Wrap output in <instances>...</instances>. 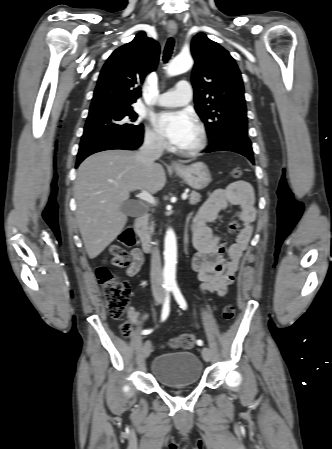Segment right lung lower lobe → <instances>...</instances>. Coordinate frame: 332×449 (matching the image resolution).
Masks as SVG:
<instances>
[{
	"mask_svg": "<svg viewBox=\"0 0 332 449\" xmlns=\"http://www.w3.org/2000/svg\"><path fill=\"white\" fill-rule=\"evenodd\" d=\"M143 133L134 137L98 136L82 140L77 155L76 167L89 155L110 149L135 150L142 144Z\"/></svg>",
	"mask_w": 332,
	"mask_h": 449,
	"instance_id": "98d812e1",
	"label": "right lung lower lobe"
}]
</instances>
